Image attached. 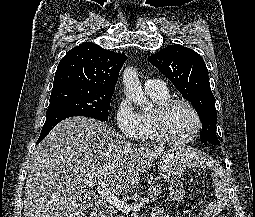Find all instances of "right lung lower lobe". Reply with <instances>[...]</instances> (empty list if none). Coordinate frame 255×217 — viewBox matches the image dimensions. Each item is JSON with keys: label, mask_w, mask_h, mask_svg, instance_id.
Segmentation results:
<instances>
[{"label": "right lung lower lobe", "mask_w": 255, "mask_h": 217, "mask_svg": "<svg viewBox=\"0 0 255 217\" xmlns=\"http://www.w3.org/2000/svg\"><path fill=\"white\" fill-rule=\"evenodd\" d=\"M73 116H86L83 114H79V113H73V112H69V111H58V112H54L50 115H46V121L45 124L42 128L40 137L37 141V144L42 141L48 134L49 132L53 129V127L58 124L60 121L69 118V117H73ZM89 117V116H86Z\"/></svg>", "instance_id": "1"}]
</instances>
